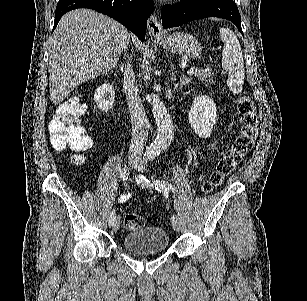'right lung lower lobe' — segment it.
I'll list each match as a JSON object with an SVG mask.
<instances>
[{
  "mask_svg": "<svg viewBox=\"0 0 307 301\" xmlns=\"http://www.w3.org/2000/svg\"><path fill=\"white\" fill-rule=\"evenodd\" d=\"M77 8H90L106 14L144 41L147 19L154 11V3L151 0H59L54 28L66 12Z\"/></svg>",
  "mask_w": 307,
  "mask_h": 301,
  "instance_id": "obj_1",
  "label": "right lung lower lobe"
}]
</instances>
